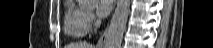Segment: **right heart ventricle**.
<instances>
[{
  "mask_svg": "<svg viewBox=\"0 0 213 48\" xmlns=\"http://www.w3.org/2000/svg\"><path fill=\"white\" fill-rule=\"evenodd\" d=\"M86 12L69 1L64 14V31L67 35L79 39L85 36L90 27L85 20Z\"/></svg>",
  "mask_w": 213,
  "mask_h": 48,
  "instance_id": "right-heart-ventricle-1",
  "label": "right heart ventricle"
}]
</instances>
